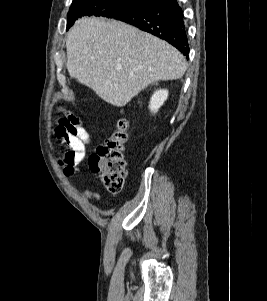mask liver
Masks as SVG:
<instances>
[{
	"label": "liver",
	"instance_id": "6515ba94",
	"mask_svg": "<svg viewBox=\"0 0 267 301\" xmlns=\"http://www.w3.org/2000/svg\"><path fill=\"white\" fill-rule=\"evenodd\" d=\"M67 69L105 102L123 107L149 84L182 78L187 63L169 43L131 25L84 17L67 34Z\"/></svg>",
	"mask_w": 267,
	"mask_h": 301
}]
</instances>
